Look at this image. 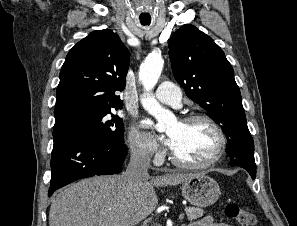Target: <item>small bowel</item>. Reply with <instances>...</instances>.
<instances>
[{"instance_id": "small-bowel-1", "label": "small bowel", "mask_w": 297, "mask_h": 226, "mask_svg": "<svg viewBox=\"0 0 297 226\" xmlns=\"http://www.w3.org/2000/svg\"><path fill=\"white\" fill-rule=\"evenodd\" d=\"M190 226H231V225L225 224V223H215L213 221V218L207 215L193 222Z\"/></svg>"}]
</instances>
